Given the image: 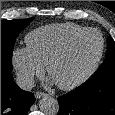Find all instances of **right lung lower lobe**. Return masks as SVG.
I'll return each instance as SVG.
<instances>
[{"label":"right lung lower lobe","mask_w":115,"mask_h":115,"mask_svg":"<svg viewBox=\"0 0 115 115\" xmlns=\"http://www.w3.org/2000/svg\"><path fill=\"white\" fill-rule=\"evenodd\" d=\"M33 103L34 95L20 89L11 72H1V115H27Z\"/></svg>","instance_id":"98d812e1"}]
</instances>
